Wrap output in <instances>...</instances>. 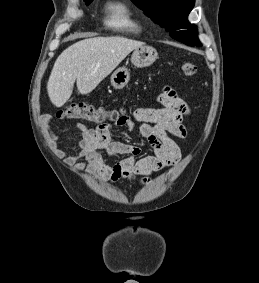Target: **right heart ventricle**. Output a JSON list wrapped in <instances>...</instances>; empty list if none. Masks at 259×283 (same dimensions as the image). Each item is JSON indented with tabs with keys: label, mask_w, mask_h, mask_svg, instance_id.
Masks as SVG:
<instances>
[{
	"label": "right heart ventricle",
	"mask_w": 259,
	"mask_h": 283,
	"mask_svg": "<svg viewBox=\"0 0 259 283\" xmlns=\"http://www.w3.org/2000/svg\"><path fill=\"white\" fill-rule=\"evenodd\" d=\"M107 24L119 31L140 33L143 29L129 5L124 1H116L108 6Z\"/></svg>",
	"instance_id": "1"
}]
</instances>
